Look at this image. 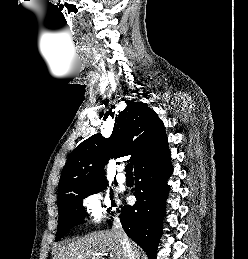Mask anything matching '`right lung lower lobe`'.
I'll list each match as a JSON object with an SVG mask.
<instances>
[{
	"label": "right lung lower lobe",
	"instance_id": "obj_1",
	"mask_svg": "<svg viewBox=\"0 0 248 259\" xmlns=\"http://www.w3.org/2000/svg\"><path fill=\"white\" fill-rule=\"evenodd\" d=\"M172 172L170 151L141 164L134 171L135 188L132 191L136 203L119 207L124 231L148 254L149 259H156L169 192L167 180Z\"/></svg>",
	"mask_w": 248,
	"mask_h": 259
}]
</instances>
